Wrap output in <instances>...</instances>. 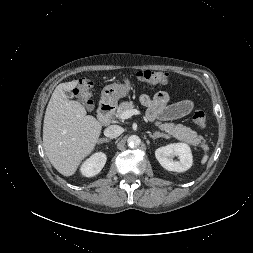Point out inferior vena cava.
Segmentation results:
<instances>
[{
    "label": "inferior vena cava",
    "mask_w": 253,
    "mask_h": 253,
    "mask_svg": "<svg viewBox=\"0 0 253 253\" xmlns=\"http://www.w3.org/2000/svg\"><path fill=\"white\" fill-rule=\"evenodd\" d=\"M123 133V128L118 125H110L104 130V135L109 138H116Z\"/></svg>",
    "instance_id": "obj_1"
}]
</instances>
